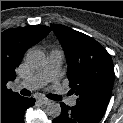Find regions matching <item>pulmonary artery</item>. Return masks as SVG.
<instances>
[{
	"label": "pulmonary artery",
	"instance_id": "e3ab8cb5",
	"mask_svg": "<svg viewBox=\"0 0 123 123\" xmlns=\"http://www.w3.org/2000/svg\"><path fill=\"white\" fill-rule=\"evenodd\" d=\"M64 58V53L59 48H54L49 52L48 59L44 68L31 76L28 79H25L17 84L18 87L28 88V89H37L50 81H54V88L62 97L66 98V92L63 87L56 81L62 62ZM66 101L69 105L73 106L76 103L75 97H68Z\"/></svg>",
	"mask_w": 123,
	"mask_h": 123
}]
</instances>
